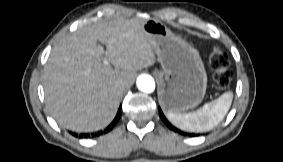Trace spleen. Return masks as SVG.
Returning <instances> with one entry per match:
<instances>
[{
    "label": "spleen",
    "instance_id": "1",
    "mask_svg": "<svg viewBox=\"0 0 283 162\" xmlns=\"http://www.w3.org/2000/svg\"><path fill=\"white\" fill-rule=\"evenodd\" d=\"M232 99L233 93L229 91L194 112L167 111V118L173 125L182 130L190 132L208 131L223 120L231 106Z\"/></svg>",
    "mask_w": 283,
    "mask_h": 162
}]
</instances>
